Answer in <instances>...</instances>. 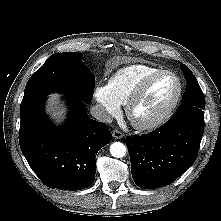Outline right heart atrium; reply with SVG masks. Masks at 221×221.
<instances>
[{
	"label": "right heart atrium",
	"instance_id": "1",
	"mask_svg": "<svg viewBox=\"0 0 221 221\" xmlns=\"http://www.w3.org/2000/svg\"><path fill=\"white\" fill-rule=\"evenodd\" d=\"M94 99L99 107L100 118L110 120L120 112V105L113 98L107 85H98L94 89Z\"/></svg>",
	"mask_w": 221,
	"mask_h": 221
}]
</instances>
